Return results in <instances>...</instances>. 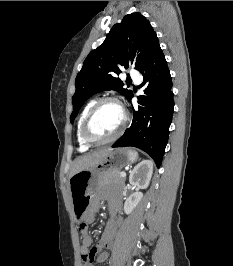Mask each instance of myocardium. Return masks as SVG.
Segmentation results:
<instances>
[{
	"instance_id": "myocardium-1",
	"label": "myocardium",
	"mask_w": 233,
	"mask_h": 266,
	"mask_svg": "<svg viewBox=\"0 0 233 266\" xmlns=\"http://www.w3.org/2000/svg\"><path fill=\"white\" fill-rule=\"evenodd\" d=\"M109 102L117 104L122 109L123 121H122L120 127L118 128V130L112 136H110L106 139H95L89 133L90 122H91L94 114L97 112V110L103 104L109 103ZM127 120H128V117H127L125 107L118 98L112 97V96L101 98L98 101H96L92 105V107L89 109V111L87 112V114L83 120L82 126H81V137L84 140V142L87 143L88 145H103V144L111 143V142L115 141L116 139H118L122 135V133L126 127Z\"/></svg>"
}]
</instances>
